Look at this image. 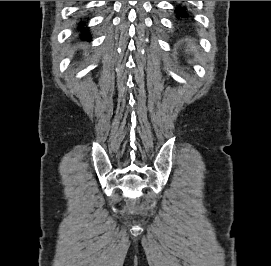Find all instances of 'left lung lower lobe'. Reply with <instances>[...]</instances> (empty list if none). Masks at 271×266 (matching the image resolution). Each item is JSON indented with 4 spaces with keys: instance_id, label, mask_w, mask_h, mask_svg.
Masks as SVG:
<instances>
[{
    "instance_id": "obj_1",
    "label": "left lung lower lobe",
    "mask_w": 271,
    "mask_h": 266,
    "mask_svg": "<svg viewBox=\"0 0 271 266\" xmlns=\"http://www.w3.org/2000/svg\"><path fill=\"white\" fill-rule=\"evenodd\" d=\"M174 11L179 22L190 23L192 21L191 15L189 14L186 6H184L183 4H176Z\"/></svg>"
}]
</instances>
